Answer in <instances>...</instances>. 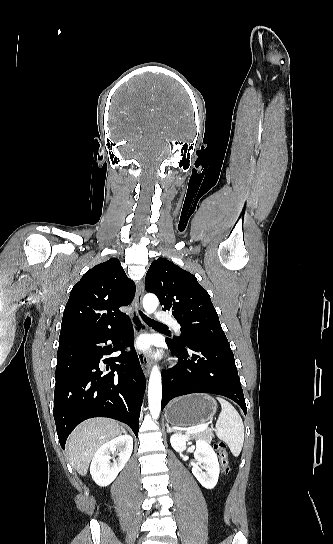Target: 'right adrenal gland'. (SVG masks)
<instances>
[{
    "instance_id": "right-adrenal-gland-1",
    "label": "right adrenal gland",
    "mask_w": 333,
    "mask_h": 544,
    "mask_svg": "<svg viewBox=\"0 0 333 544\" xmlns=\"http://www.w3.org/2000/svg\"><path fill=\"white\" fill-rule=\"evenodd\" d=\"M122 431H124L126 433V431L122 428Z\"/></svg>"
}]
</instances>
